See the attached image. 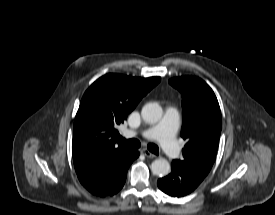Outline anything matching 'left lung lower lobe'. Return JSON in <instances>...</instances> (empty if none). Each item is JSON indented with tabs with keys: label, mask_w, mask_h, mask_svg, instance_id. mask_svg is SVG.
<instances>
[{
	"label": "left lung lower lobe",
	"mask_w": 275,
	"mask_h": 215,
	"mask_svg": "<svg viewBox=\"0 0 275 215\" xmlns=\"http://www.w3.org/2000/svg\"><path fill=\"white\" fill-rule=\"evenodd\" d=\"M171 168V173L166 177L160 178L157 185L160 190L173 197L188 195L194 191L205 178L185 169L175 161L171 163Z\"/></svg>",
	"instance_id": "1"
}]
</instances>
